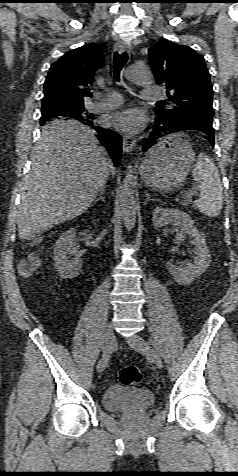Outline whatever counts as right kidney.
I'll list each match as a JSON object with an SVG mask.
<instances>
[{"mask_svg": "<svg viewBox=\"0 0 238 476\" xmlns=\"http://www.w3.org/2000/svg\"><path fill=\"white\" fill-rule=\"evenodd\" d=\"M75 237V230L69 229L59 237L53 247L54 266L64 279L78 276L82 268V259L78 255L79 244Z\"/></svg>", "mask_w": 238, "mask_h": 476, "instance_id": "obj_1", "label": "right kidney"}]
</instances>
